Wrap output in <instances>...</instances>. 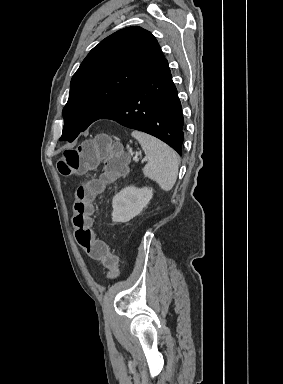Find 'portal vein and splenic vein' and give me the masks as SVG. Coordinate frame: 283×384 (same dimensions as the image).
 Wrapping results in <instances>:
<instances>
[{"mask_svg": "<svg viewBox=\"0 0 283 384\" xmlns=\"http://www.w3.org/2000/svg\"><path fill=\"white\" fill-rule=\"evenodd\" d=\"M134 162H138L137 158H133ZM145 160H149V158H145Z\"/></svg>", "mask_w": 283, "mask_h": 384, "instance_id": "18ae733b", "label": "portal vein and splenic vein"}]
</instances>
